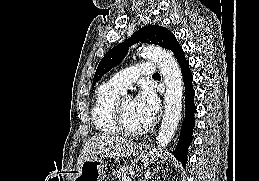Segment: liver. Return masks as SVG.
<instances>
[{"label": "liver", "instance_id": "liver-1", "mask_svg": "<svg viewBox=\"0 0 259 181\" xmlns=\"http://www.w3.org/2000/svg\"><path fill=\"white\" fill-rule=\"evenodd\" d=\"M137 148L138 144H134L119 136L107 133L95 135L84 144L77 160V165L79 167L84 160L96 155L128 157L134 153Z\"/></svg>", "mask_w": 259, "mask_h": 181}]
</instances>
